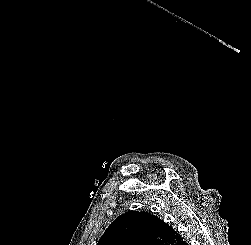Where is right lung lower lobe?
Masks as SVG:
<instances>
[{
	"instance_id": "1",
	"label": "right lung lower lobe",
	"mask_w": 251,
	"mask_h": 245,
	"mask_svg": "<svg viewBox=\"0 0 251 245\" xmlns=\"http://www.w3.org/2000/svg\"><path fill=\"white\" fill-rule=\"evenodd\" d=\"M176 245H187V243L181 238V240L176 243Z\"/></svg>"
}]
</instances>
